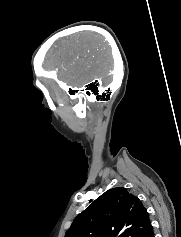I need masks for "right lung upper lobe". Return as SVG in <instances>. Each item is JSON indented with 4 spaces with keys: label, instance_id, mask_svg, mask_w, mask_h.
<instances>
[{
    "label": "right lung upper lobe",
    "instance_id": "cb5924a9",
    "mask_svg": "<svg viewBox=\"0 0 181 237\" xmlns=\"http://www.w3.org/2000/svg\"><path fill=\"white\" fill-rule=\"evenodd\" d=\"M142 202L126 188L107 190L72 222L65 237H151Z\"/></svg>",
    "mask_w": 181,
    "mask_h": 237
}]
</instances>
